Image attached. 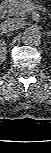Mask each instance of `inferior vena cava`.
Instances as JSON below:
<instances>
[{
	"label": "inferior vena cava",
	"mask_w": 51,
	"mask_h": 153,
	"mask_svg": "<svg viewBox=\"0 0 51 153\" xmlns=\"http://www.w3.org/2000/svg\"><path fill=\"white\" fill-rule=\"evenodd\" d=\"M24 25L23 20L19 18H8L4 21V23L1 25V31L7 32V31H13L21 28Z\"/></svg>",
	"instance_id": "obj_1"
}]
</instances>
